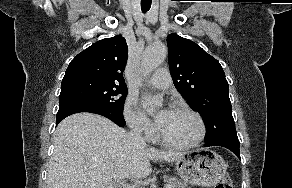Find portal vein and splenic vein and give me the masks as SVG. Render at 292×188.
Masks as SVG:
<instances>
[{
	"label": "portal vein and splenic vein",
	"mask_w": 292,
	"mask_h": 188,
	"mask_svg": "<svg viewBox=\"0 0 292 188\" xmlns=\"http://www.w3.org/2000/svg\"><path fill=\"white\" fill-rule=\"evenodd\" d=\"M124 186H125L126 188H130V187H128V185H127V184H124ZM165 188H169V186H168V185H166V186H165Z\"/></svg>",
	"instance_id": "obj_1"
}]
</instances>
